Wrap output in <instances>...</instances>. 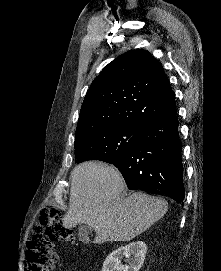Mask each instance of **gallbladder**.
<instances>
[{
    "label": "gallbladder",
    "instance_id": "1",
    "mask_svg": "<svg viewBox=\"0 0 221 271\" xmlns=\"http://www.w3.org/2000/svg\"><path fill=\"white\" fill-rule=\"evenodd\" d=\"M93 227L91 225H79L78 237L79 241H89V235L92 233Z\"/></svg>",
    "mask_w": 221,
    "mask_h": 271
}]
</instances>
